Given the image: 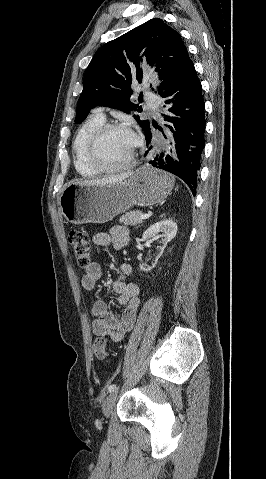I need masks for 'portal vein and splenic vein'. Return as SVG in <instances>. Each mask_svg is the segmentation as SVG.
I'll return each instance as SVG.
<instances>
[{"label":"portal vein and splenic vein","mask_w":266,"mask_h":479,"mask_svg":"<svg viewBox=\"0 0 266 479\" xmlns=\"http://www.w3.org/2000/svg\"><path fill=\"white\" fill-rule=\"evenodd\" d=\"M149 217H150L149 214H141V215H140V218H141V219H148Z\"/></svg>","instance_id":"portal-vein-and-splenic-vein-1"}]
</instances>
